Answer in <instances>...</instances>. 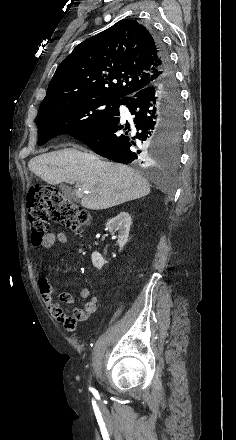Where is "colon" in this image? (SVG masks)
Masks as SVG:
<instances>
[{"label": "colon", "mask_w": 236, "mask_h": 440, "mask_svg": "<svg viewBox=\"0 0 236 440\" xmlns=\"http://www.w3.org/2000/svg\"><path fill=\"white\" fill-rule=\"evenodd\" d=\"M31 239L35 246L41 244L50 228V214L63 226L79 232L91 222L90 213L50 185L32 187L27 196ZM75 321L71 317L61 320Z\"/></svg>", "instance_id": "5ec220e1"}]
</instances>
